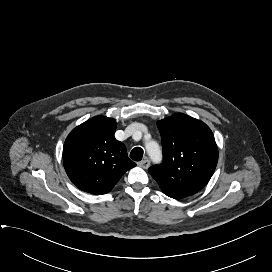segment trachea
I'll return each mask as SVG.
<instances>
[{"instance_id":"obj_1","label":"trachea","mask_w":272,"mask_h":272,"mask_svg":"<svg viewBox=\"0 0 272 272\" xmlns=\"http://www.w3.org/2000/svg\"><path fill=\"white\" fill-rule=\"evenodd\" d=\"M143 149L140 147H135L131 153H130V158L134 161H141L143 157Z\"/></svg>"}]
</instances>
